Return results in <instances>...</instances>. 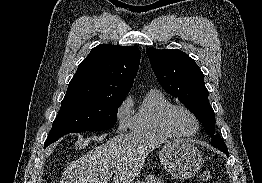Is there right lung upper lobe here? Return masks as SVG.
<instances>
[{
	"label": "right lung upper lobe",
	"mask_w": 262,
	"mask_h": 183,
	"mask_svg": "<svg viewBox=\"0 0 262 183\" xmlns=\"http://www.w3.org/2000/svg\"><path fill=\"white\" fill-rule=\"evenodd\" d=\"M133 46L101 44L93 48L71 79L67 93L126 97L140 63Z\"/></svg>",
	"instance_id": "right-lung-upper-lobe-1"
}]
</instances>
